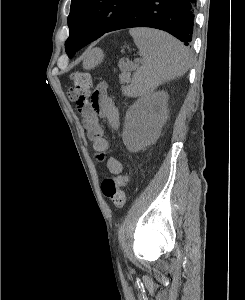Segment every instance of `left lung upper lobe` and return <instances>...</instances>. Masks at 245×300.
Here are the masks:
<instances>
[{
	"label": "left lung upper lobe",
	"instance_id": "left-lung-upper-lobe-1",
	"mask_svg": "<svg viewBox=\"0 0 245 300\" xmlns=\"http://www.w3.org/2000/svg\"><path fill=\"white\" fill-rule=\"evenodd\" d=\"M135 0H72L68 16L69 38L65 42L69 57L76 47L92 37H100L112 27Z\"/></svg>",
	"mask_w": 245,
	"mask_h": 300
}]
</instances>
